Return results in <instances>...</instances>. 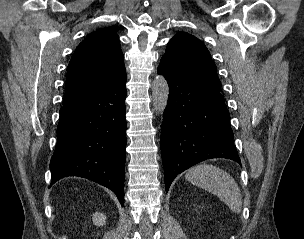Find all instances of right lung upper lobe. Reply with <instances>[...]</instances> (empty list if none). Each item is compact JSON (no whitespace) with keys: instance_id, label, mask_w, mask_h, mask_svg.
<instances>
[{"instance_id":"cb5924a9","label":"right lung upper lobe","mask_w":304,"mask_h":239,"mask_svg":"<svg viewBox=\"0 0 304 239\" xmlns=\"http://www.w3.org/2000/svg\"><path fill=\"white\" fill-rule=\"evenodd\" d=\"M116 29L94 31L70 60L63 105L87 97L126 74Z\"/></svg>"}]
</instances>
